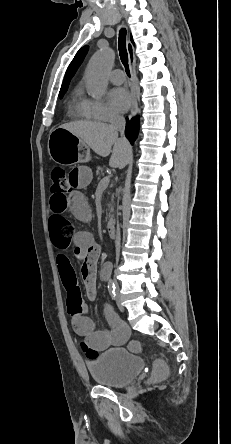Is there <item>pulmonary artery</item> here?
<instances>
[{"instance_id": "pulmonary-artery-1", "label": "pulmonary artery", "mask_w": 231, "mask_h": 444, "mask_svg": "<svg viewBox=\"0 0 231 444\" xmlns=\"http://www.w3.org/2000/svg\"><path fill=\"white\" fill-rule=\"evenodd\" d=\"M126 77L121 69H115L110 74V81L113 84L119 85L125 81Z\"/></svg>"}]
</instances>
